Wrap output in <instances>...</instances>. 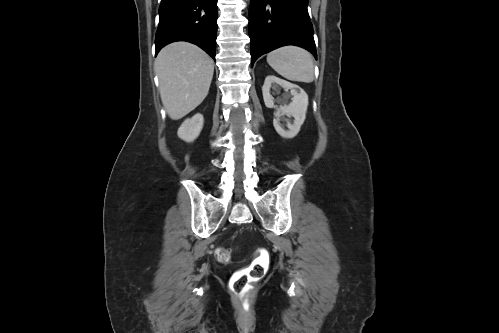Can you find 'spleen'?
I'll return each mask as SVG.
<instances>
[{
    "mask_svg": "<svg viewBox=\"0 0 499 333\" xmlns=\"http://www.w3.org/2000/svg\"><path fill=\"white\" fill-rule=\"evenodd\" d=\"M267 63L288 80L305 83L314 80L312 55L300 47L286 46L276 49L267 55Z\"/></svg>",
    "mask_w": 499,
    "mask_h": 333,
    "instance_id": "spleen-1",
    "label": "spleen"
}]
</instances>
